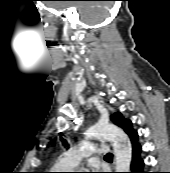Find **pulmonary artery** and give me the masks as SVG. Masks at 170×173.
<instances>
[{"label": "pulmonary artery", "mask_w": 170, "mask_h": 173, "mask_svg": "<svg viewBox=\"0 0 170 173\" xmlns=\"http://www.w3.org/2000/svg\"><path fill=\"white\" fill-rule=\"evenodd\" d=\"M109 152V146H98L89 141H82L73 148H71L64 155L66 159V167H75L79 164L80 161L92 155H106Z\"/></svg>", "instance_id": "pulmonary-artery-1"}]
</instances>
